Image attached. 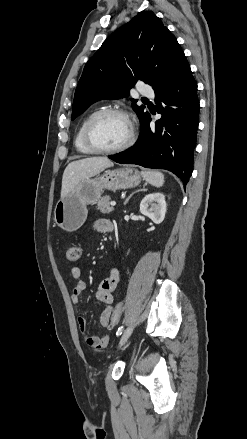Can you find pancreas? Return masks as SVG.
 <instances>
[{"label":"pancreas","mask_w":247,"mask_h":439,"mask_svg":"<svg viewBox=\"0 0 247 439\" xmlns=\"http://www.w3.org/2000/svg\"><path fill=\"white\" fill-rule=\"evenodd\" d=\"M111 198L109 196L102 197L97 204V210H99L103 214H108L113 211V208L110 207Z\"/></svg>","instance_id":"1"}]
</instances>
